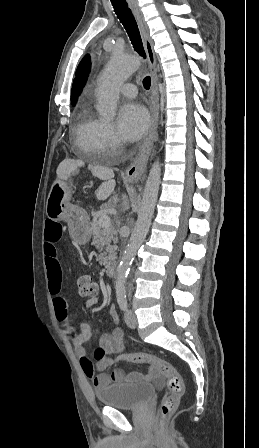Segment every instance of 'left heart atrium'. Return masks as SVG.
Segmentation results:
<instances>
[{"label": "left heart atrium", "mask_w": 259, "mask_h": 448, "mask_svg": "<svg viewBox=\"0 0 259 448\" xmlns=\"http://www.w3.org/2000/svg\"><path fill=\"white\" fill-rule=\"evenodd\" d=\"M149 117L143 105L136 101L123 104L118 115V130L128 142L136 141L147 130Z\"/></svg>", "instance_id": "obj_1"}]
</instances>
